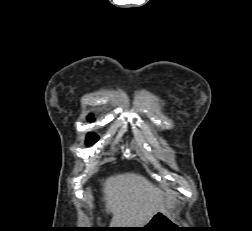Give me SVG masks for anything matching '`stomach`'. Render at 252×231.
Returning <instances> with one entry per match:
<instances>
[{
    "label": "stomach",
    "mask_w": 252,
    "mask_h": 231,
    "mask_svg": "<svg viewBox=\"0 0 252 231\" xmlns=\"http://www.w3.org/2000/svg\"><path fill=\"white\" fill-rule=\"evenodd\" d=\"M173 222L165 209L160 210L142 227L141 231H169L173 230Z\"/></svg>",
    "instance_id": "0dacf381"
}]
</instances>
